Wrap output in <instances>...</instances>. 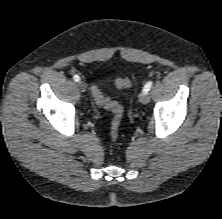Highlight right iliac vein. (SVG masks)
Listing matches in <instances>:
<instances>
[{
	"label": "right iliac vein",
	"mask_w": 222,
	"mask_h": 219,
	"mask_svg": "<svg viewBox=\"0 0 222 219\" xmlns=\"http://www.w3.org/2000/svg\"><path fill=\"white\" fill-rule=\"evenodd\" d=\"M77 87L82 91L84 92L86 90V84L82 81V80H79L77 82Z\"/></svg>",
	"instance_id": "63e3f726"
}]
</instances>
